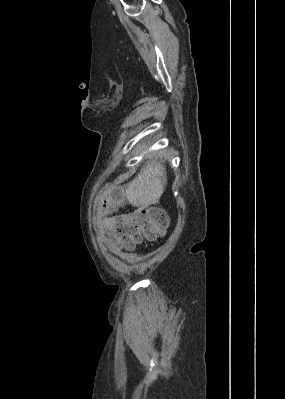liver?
Instances as JSON below:
<instances>
[{"label":"liver","instance_id":"1","mask_svg":"<svg viewBox=\"0 0 285 399\" xmlns=\"http://www.w3.org/2000/svg\"><path fill=\"white\" fill-rule=\"evenodd\" d=\"M166 179L163 161H148L126 186L125 196L133 206L145 208L156 204L165 190Z\"/></svg>","mask_w":285,"mask_h":399}]
</instances>
